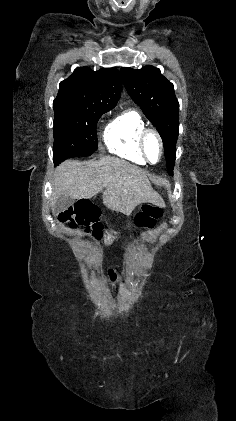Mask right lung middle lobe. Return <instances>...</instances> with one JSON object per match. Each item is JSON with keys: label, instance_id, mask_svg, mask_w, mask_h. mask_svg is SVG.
<instances>
[{"label": "right lung middle lobe", "instance_id": "right-lung-middle-lobe-1", "mask_svg": "<svg viewBox=\"0 0 236 421\" xmlns=\"http://www.w3.org/2000/svg\"><path fill=\"white\" fill-rule=\"evenodd\" d=\"M55 165L70 157L89 156L98 147L96 125L101 115L112 108L54 100Z\"/></svg>", "mask_w": 236, "mask_h": 421}]
</instances>
